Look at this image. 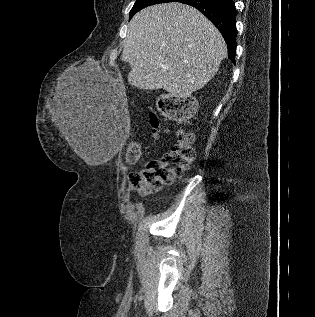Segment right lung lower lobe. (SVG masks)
<instances>
[{
	"label": "right lung lower lobe",
	"mask_w": 315,
	"mask_h": 317,
	"mask_svg": "<svg viewBox=\"0 0 315 317\" xmlns=\"http://www.w3.org/2000/svg\"><path fill=\"white\" fill-rule=\"evenodd\" d=\"M201 11L221 32L227 48L228 57L235 63L236 55V8L233 0H177Z\"/></svg>",
	"instance_id": "obj_1"
}]
</instances>
